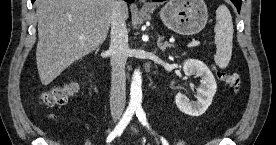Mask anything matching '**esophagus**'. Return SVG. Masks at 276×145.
I'll return each instance as SVG.
<instances>
[{"instance_id": "1", "label": "esophagus", "mask_w": 276, "mask_h": 145, "mask_svg": "<svg viewBox=\"0 0 276 145\" xmlns=\"http://www.w3.org/2000/svg\"><path fill=\"white\" fill-rule=\"evenodd\" d=\"M140 2L144 3L145 5H149L148 2H146L145 0H139Z\"/></svg>"}]
</instances>
